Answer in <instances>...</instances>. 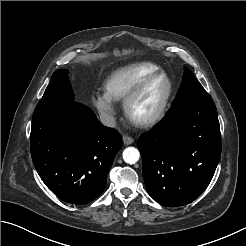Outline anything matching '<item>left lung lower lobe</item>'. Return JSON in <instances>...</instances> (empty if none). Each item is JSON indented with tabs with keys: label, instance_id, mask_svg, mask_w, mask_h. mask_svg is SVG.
<instances>
[{
	"label": "left lung lower lobe",
	"instance_id": "0a47b994",
	"mask_svg": "<svg viewBox=\"0 0 246 246\" xmlns=\"http://www.w3.org/2000/svg\"><path fill=\"white\" fill-rule=\"evenodd\" d=\"M137 147L155 201L172 207L194 201L209 185L221 156L220 125L210 95L172 106Z\"/></svg>",
	"mask_w": 246,
	"mask_h": 246
}]
</instances>
